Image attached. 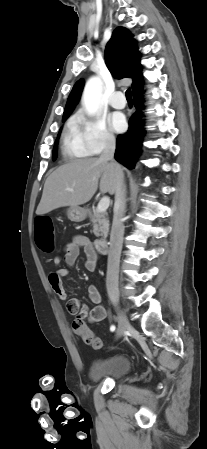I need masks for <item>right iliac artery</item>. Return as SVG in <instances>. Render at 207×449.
<instances>
[{
    "label": "right iliac artery",
    "instance_id": "obj_1",
    "mask_svg": "<svg viewBox=\"0 0 207 449\" xmlns=\"http://www.w3.org/2000/svg\"><path fill=\"white\" fill-rule=\"evenodd\" d=\"M115 328H116L115 325H112V326L110 327V330H111V331H114Z\"/></svg>",
    "mask_w": 207,
    "mask_h": 449
}]
</instances>
